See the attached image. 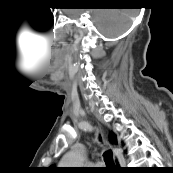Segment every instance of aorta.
Here are the masks:
<instances>
[{
  "label": "aorta",
  "mask_w": 173,
  "mask_h": 173,
  "mask_svg": "<svg viewBox=\"0 0 173 173\" xmlns=\"http://www.w3.org/2000/svg\"><path fill=\"white\" fill-rule=\"evenodd\" d=\"M81 163H82V158L80 154L77 152L68 154L62 161L63 165H80Z\"/></svg>",
  "instance_id": "aorta-1"
}]
</instances>
